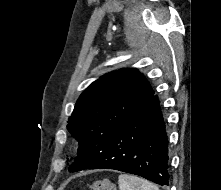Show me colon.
I'll return each instance as SVG.
<instances>
[{"label": "colon", "mask_w": 221, "mask_h": 190, "mask_svg": "<svg viewBox=\"0 0 221 190\" xmlns=\"http://www.w3.org/2000/svg\"><path fill=\"white\" fill-rule=\"evenodd\" d=\"M86 190H115V188L110 180L100 179L92 182Z\"/></svg>", "instance_id": "1"}]
</instances>
